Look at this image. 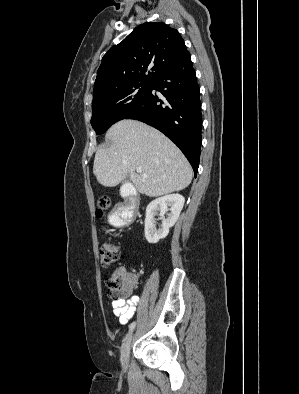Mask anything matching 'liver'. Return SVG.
I'll list each match as a JSON object with an SVG mask.
<instances>
[{
  "label": "liver",
  "instance_id": "liver-1",
  "mask_svg": "<svg viewBox=\"0 0 299 394\" xmlns=\"http://www.w3.org/2000/svg\"><path fill=\"white\" fill-rule=\"evenodd\" d=\"M106 139L112 144L96 152L93 165V173L101 185L114 187L129 175L139 193L158 197L180 191L191 183L188 160L157 129L124 119L108 130ZM137 168L142 173H136Z\"/></svg>",
  "mask_w": 299,
  "mask_h": 394
}]
</instances>
